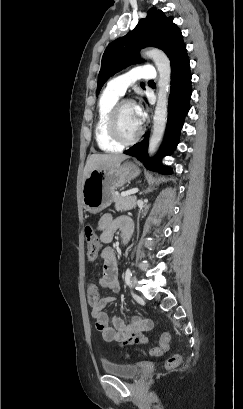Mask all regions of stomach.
I'll return each mask as SVG.
<instances>
[{"instance_id": "stomach-1", "label": "stomach", "mask_w": 243, "mask_h": 409, "mask_svg": "<svg viewBox=\"0 0 243 409\" xmlns=\"http://www.w3.org/2000/svg\"><path fill=\"white\" fill-rule=\"evenodd\" d=\"M140 174L133 162L89 173L82 185V202L91 214H97L113 202L115 191Z\"/></svg>"}]
</instances>
